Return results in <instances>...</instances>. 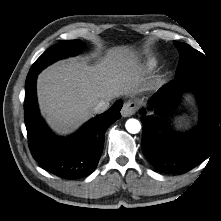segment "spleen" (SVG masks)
<instances>
[{
	"label": "spleen",
	"instance_id": "3e777b00",
	"mask_svg": "<svg viewBox=\"0 0 221 221\" xmlns=\"http://www.w3.org/2000/svg\"><path fill=\"white\" fill-rule=\"evenodd\" d=\"M175 122L178 123L179 126H181L185 122V117L184 116L177 117Z\"/></svg>",
	"mask_w": 221,
	"mask_h": 221
}]
</instances>
